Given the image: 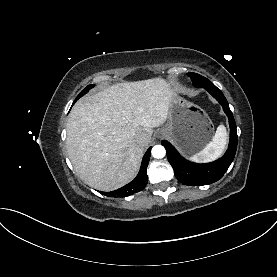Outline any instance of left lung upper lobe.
I'll use <instances>...</instances> for the list:
<instances>
[{
  "instance_id": "left-lung-upper-lobe-1",
  "label": "left lung upper lobe",
  "mask_w": 277,
  "mask_h": 277,
  "mask_svg": "<svg viewBox=\"0 0 277 277\" xmlns=\"http://www.w3.org/2000/svg\"><path fill=\"white\" fill-rule=\"evenodd\" d=\"M187 75L191 78L193 85L195 87H203V85L211 82L207 78H205L197 73H188Z\"/></svg>"
}]
</instances>
